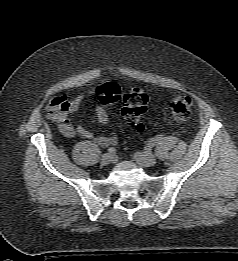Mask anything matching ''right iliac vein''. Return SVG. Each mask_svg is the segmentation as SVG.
Returning a JSON list of instances; mask_svg holds the SVG:
<instances>
[{"label": "right iliac vein", "mask_w": 238, "mask_h": 261, "mask_svg": "<svg viewBox=\"0 0 238 261\" xmlns=\"http://www.w3.org/2000/svg\"><path fill=\"white\" fill-rule=\"evenodd\" d=\"M113 155L110 153H106L102 156L101 163L102 165H108L113 162Z\"/></svg>", "instance_id": "obj_1"}]
</instances>
